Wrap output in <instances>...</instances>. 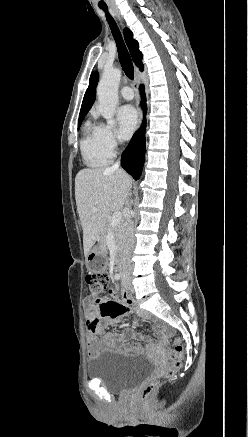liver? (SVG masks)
<instances>
[{"label": "liver", "mask_w": 248, "mask_h": 437, "mask_svg": "<svg viewBox=\"0 0 248 437\" xmlns=\"http://www.w3.org/2000/svg\"><path fill=\"white\" fill-rule=\"evenodd\" d=\"M131 185V177L121 169L85 168L76 175L75 199L85 256L103 234L110 213L124 207Z\"/></svg>", "instance_id": "1"}]
</instances>
